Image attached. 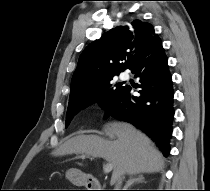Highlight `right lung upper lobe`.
Instances as JSON below:
<instances>
[{
	"label": "right lung upper lobe",
	"instance_id": "obj_1",
	"mask_svg": "<svg viewBox=\"0 0 210 191\" xmlns=\"http://www.w3.org/2000/svg\"><path fill=\"white\" fill-rule=\"evenodd\" d=\"M157 37L153 26L140 20L104 33L82 52L72 77L69 99L88 93L110 75L130 69Z\"/></svg>",
	"mask_w": 210,
	"mask_h": 191
}]
</instances>
